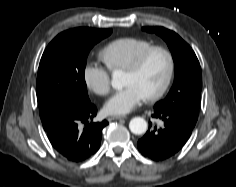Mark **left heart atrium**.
I'll return each instance as SVG.
<instances>
[{"instance_id": "1", "label": "left heart atrium", "mask_w": 236, "mask_h": 187, "mask_svg": "<svg viewBox=\"0 0 236 187\" xmlns=\"http://www.w3.org/2000/svg\"><path fill=\"white\" fill-rule=\"evenodd\" d=\"M144 99L143 94L133 85L114 93L105 103L104 110L110 115H126Z\"/></svg>"}]
</instances>
